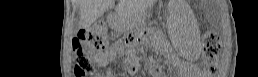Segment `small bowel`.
<instances>
[{
	"instance_id": "small-bowel-1",
	"label": "small bowel",
	"mask_w": 258,
	"mask_h": 77,
	"mask_svg": "<svg viewBox=\"0 0 258 77\" xmlns=\"http://www.w3.org/2000/svg\"><path fill=\"white\" fill-rule=\"evenodd\" d=\"M111 53H115V51H111ZM91 57L96 61V63L99 65V66H102L105 64L106 62V59H105V56L102 55L101 53H98V52H91Z\"/></svg>"
}]
</instances>
